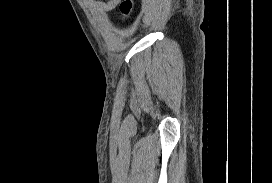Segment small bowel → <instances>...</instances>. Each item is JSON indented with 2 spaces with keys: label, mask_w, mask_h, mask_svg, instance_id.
I'll list each match as a JSON object with an SVG mask.
<instances>
[{
  "label": "small bowel",
  "mask_w": 272,
  "mask_h": 183,
  "mask_svg": "<svg viewBox=\"0 0 272 183\" xmlns=\"http://www.w3.org/2000/svg\"><path fill=\"white\" fill-rule=\"evenodd\" d=\"M117 1L118 0H110L108 2H99L98 7L104 11H110L115 7Z\"/></svg>",
  "instance_id": "c3829d8e"
}]
</instances>
